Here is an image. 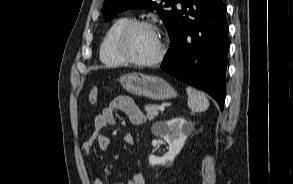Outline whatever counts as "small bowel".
Segmentation results:
<instances>
[{"label": "small bowel", "instance_id": "small-bowel-1", "mask_svg": "<svg viewBox=\"0 0 293 184\" xmlns=\"http://www.w3.org/2000/svg\"><path fill=\"white\" fill-rule=\"evenodd\" d=\"M121 111L127 115L133 125H141L146 117L133 99L127 96L115 97L94 119V131L90 138L83 143L84 155L93 161V147L97 146L101 151H108L111 146L110 139L104 134L105 128L116 123L115 112ZM124 142L128 145L134 144V137L131 133L124 135ZM92 184H104L100 178H95ZM115 184H145V178L141 173H135L126 182Z\"/></svg>", "mask_w": 293, "mask_h": 184}]
</instances>
